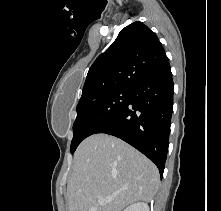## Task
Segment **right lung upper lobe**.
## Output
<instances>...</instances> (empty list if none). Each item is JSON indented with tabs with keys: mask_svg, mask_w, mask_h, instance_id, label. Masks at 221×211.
<instances>
[{
	"mask_svg": "<svg viewBox=\"0 0 221 211\" xmlns=\"http://www.w3.org/2000/svg\"><path fill=\"white\" fill-rule=\"evenodd\" d=\"M170 68L154 32L136 21L123 28L113 44L90 67L80 100L120 88Z\"/></svg>",
	"mask_w": 221,
	"mask_h": 211,
	"instance_id": "cb5924a9",
	"label": "right lung upper lobe"
}]
</instances>
